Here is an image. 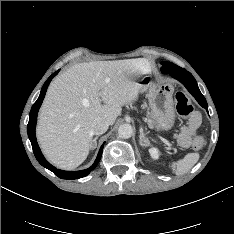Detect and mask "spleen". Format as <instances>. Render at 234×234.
Listing matches in <instances>:
<instances>
[{
  "instance_id": "obj_1",
  "label": "spleen",
  "mask_w": 234,
  "mask_h": 234,
  "mask_svg": "<svg viewBox=\"0 0 234 234\" xmlns=\"http://www.w3.org/2000/svg\"><path fill=\"white\" fill-rule=\"evenodd\" d=\"M198 160V153H188L183 159L172 163V171L176 175L185 174L198 162Z\"/></svg>"
}]
</instances>
